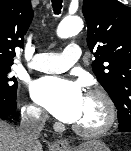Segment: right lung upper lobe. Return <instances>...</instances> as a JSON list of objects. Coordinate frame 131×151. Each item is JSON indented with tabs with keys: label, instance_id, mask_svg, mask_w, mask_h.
Segmentation results:
<instances>
[{
	"label": "right lung upper lobe",
	"instance_id": "cb5924a9",
	"mask_svg": "<svg viewBox=\"0 0 131 151\" xmlns=\"http://www.w3.org/2000/svg\"><path fill=\"white\" fill-rule=\"evenodd\" d=\"M32 19L31 0H0V65L13 64Z\"/></svg>",
	"mask_w": 131,
	"mask_h": 151
}]
</instances>
